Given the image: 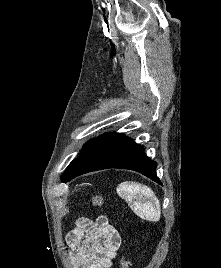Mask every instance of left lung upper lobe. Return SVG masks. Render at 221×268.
<instances>
[{
    "label": "left lung upper lobe",
    "instance_id": "1",
    "mask_svg": "<svg viewBox=\"0 0 221 268\" xmlns=\"http://www.w3.org/2000/svg\"><path fill=\"white\" fill-rule=\"evenodd\" d=\"M89 142H91V141H89ZM88 144H89V143H86V144L84 145L83 150H84V148H85ZM72 162H73V161H72ZM72 162H71V163H72ZM71 163H70V164H71Z\"/></svg>",
    "mask_w": 221,
    "mask_h": 268
}]
</instances>
